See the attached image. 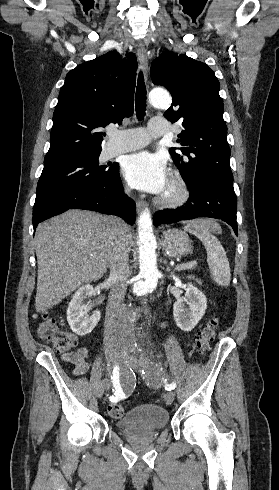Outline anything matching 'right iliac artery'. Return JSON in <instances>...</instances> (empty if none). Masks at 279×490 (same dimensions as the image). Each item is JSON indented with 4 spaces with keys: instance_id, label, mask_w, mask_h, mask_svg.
Wrapping results in <instances>:
<instances>
[{
    "instance_id": "right-iliac-artery-1",
    "label": "right iliac artery",
    "mask_w": 279,
    "mask_h": 490,
    "mask_svg": "<svg viewBox=\"0 0 279 490\" xmlns=\"http://www.w3.org/2000/svg\"><path fill=\"white\" fill-rule=\"evenodd\" d=\"M112 382L114 384V393L115 396H110V401L111 402H117L119 401L120 403H123L125 401V381L123 378H119V367L116 365L113 369V375L111 376Z\"/></svg>"
}]
</instances>
